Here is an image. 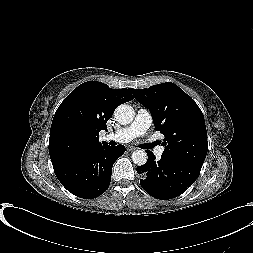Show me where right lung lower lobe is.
Returning a JSON list of instances; mask_svg holds the SVG:
<instances>
[{
  "instance_id": "obj_1",
  "label": "right lung lower lobe",
  "mask_w": 253,
  "mask_h": 253,
  "mask_svg": "<svg viewBox=\"0 0 253 253\" xmlns=\"http://www.w3.org/2000/svg\"><path fill=\"white\" fill-rule=\"evenodd\" d=\"M124 152L123 145H103L75 160L54 166V172L75 196L95 198L109 187L113 164Z\"/></svg>"
}]
</instances>
